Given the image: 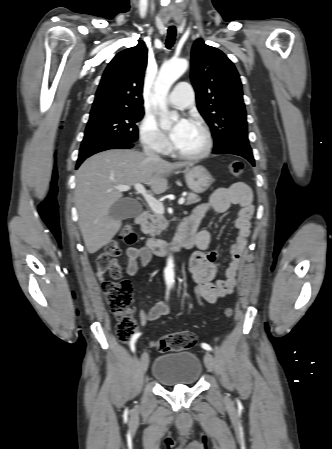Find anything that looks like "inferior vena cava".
<instances>
[{
  "instance_id": "602c4592",
  "label": "inferior vena cava",
  "mask_w": 332,
  "mask_h": 449,
  "mask_svg": "<svg viewBox=\"0 0 332 449\" xmlns=\"http://www.w3.org/2000/svg\"><path fill=\"white\" fill-rule=\"evenodd\" d=\"M143 153L149 160H154V161L161 160L159 155L156 154L148 145L144 146Z\"/></svg>"
}]
</instances>
